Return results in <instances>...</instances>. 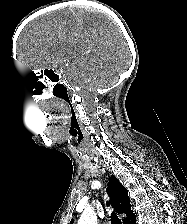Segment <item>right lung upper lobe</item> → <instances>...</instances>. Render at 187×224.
Segmentation results:
<instances>
[{
  "mask_svg": "<svg viewBox=\"0 0 187 224\" xmlns=\"http://www.w3.org/2000/svg\"><path fill=\"white\" fill-rule=\"evenodd\" d=\"M107 190L111 203L116 211L118 213L126 214V218L122 220L123 224H128L135 217V214L131 210L127 189L118 181L115 176L112 175L109 178V185ZM71 224H73V219L71 220Z\"/></svg>",
  "mask_w": 187,
  "mask_h": 224,
  "instance_id": "1",
  "label": "right lung upper lobe"
}]
</instances>
